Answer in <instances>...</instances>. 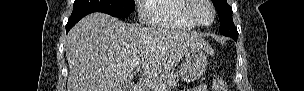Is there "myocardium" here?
<instances>
[{
	"label": "myocardium",
	"mask_w": 304,
	"mask_h": 91,
	"mask_svg": "<svg viewBox=\"0 0 304 91\" xmlns=\"http://www.w3.org/2000/svg\"><path fill=\"white\" fill-rule=\"evenodd\" d=\"M188 2V7L186 9V15L188 19L198 27H209L213 24L215 18H216V10L213 6L212 1L210 0H187ZM202 5H207L212 12V19L209 23H202L196 15L197 10L202 6Z\"/></svg>",
	"instance_id": "obj_1"
}]
</instances>
